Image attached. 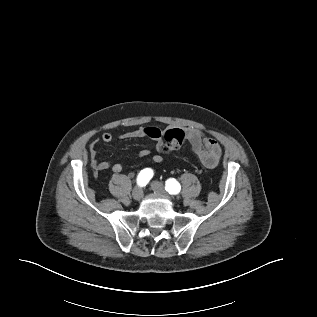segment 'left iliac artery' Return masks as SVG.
Listing matches in <instances>:
<instances>
[{"mask_svg": "<svg viewBox=\"0 0 317 317\" xmlns=\"http://www.w3.org/2000/svg\"><path fill=\"white\" fill-rule=\"evenodd\" d=\"M165 189L169 194H178L181 190V186L176 179L170 178L166 181Z\"/></svg>", "mask_w": 317, "mask_h": 317, "instance_id": "obj_1", "label": "left iliac artery"}]
</instances>
